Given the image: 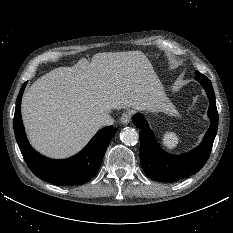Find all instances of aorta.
<instances>
[{"instance_id":"762f6f07","label":"aorta","mask_w":233,"mask_h":233,"mask_svg":"<svg viewBox=\"0 0 233 233\" xmlns=\"http://www.w3.org/2000/svg\"><path fill=\"white\" fill-rule=\"evenodd\" d=\"M120 139L125 145H135L138 142L139 135L134 128H125L120 134Z\"/></svg>"}]
</instances>
